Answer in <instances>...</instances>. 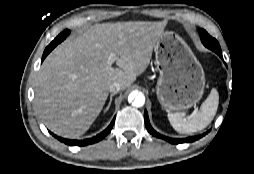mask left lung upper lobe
I'll return each instance as SVG.
<instances>
[{"label":"left lung upper lobe","mask_w":254,"mask_h":174,"mask_svg":"<svg viewBox=\"0 0 254 174\" xmlns=\"http://www.w3.org/2000/svg\"><path fill=\"white\" fill-rule=\"evenodd\" d=\"M200 38L202 43L209 49L213 50L216 53L221 52V48L216 39L211 37L204 29L199 30Z\"/></svg>","instance_id":"1"}]
</instances>
